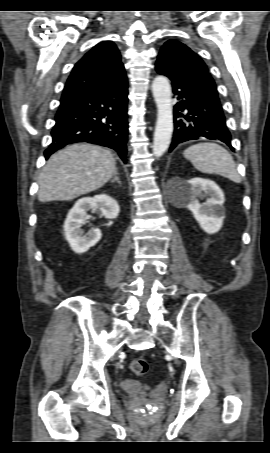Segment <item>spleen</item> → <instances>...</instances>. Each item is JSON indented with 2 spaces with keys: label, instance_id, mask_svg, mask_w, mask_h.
Instances as JSON below:
<instances>
[{
  "label": "spleen",
  "instance_id": "obj_1",
  "mask_svg": "<svg viewBox=\"0 0 270 453\" xmlns=\"http://www.w3.org/2000/svg\"><path fill=\"white\" fill-rule=\"evenodd\" d=\"M184 156L202 173L219 174L233 182H241L233 157L219 144L204 142L192 145L184 151Z\"/></svg>",
  "mask_w": 270,
  "mask_h": 453
}]
</instances>
